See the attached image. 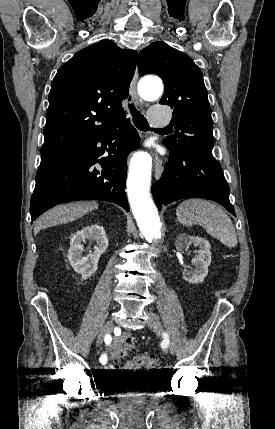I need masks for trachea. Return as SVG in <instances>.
I'll return each instance as SVG.
<instances>
[{"label": "trachea", "instance_id": "obj_1", "mask_svg": "<svg viewBox=\"0 0 275 429\" xmlns=\"http://www.w3.org/2000/svg\"><path fill=\"white\" fill-rule=\"evenodd\" d=\"M129 108L131 110L133 123L135 124V126L141 131H148L150 127L146 118L134 107L133 104H130ZM151 130H154V129H151ZM167 130L168 128H162V129H156L155 131H167Z\"/></svg>", "mask_w": 275, "mask_h": 429}]
</instances>
